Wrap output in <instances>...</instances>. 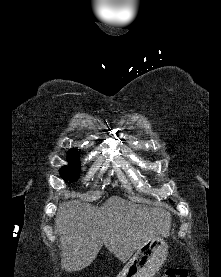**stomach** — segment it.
Returning a JSON list of instances; mask_svg holds the SVG:
<instances>
[{"label":"stomach","instance_id":"1","mask_svg":"<svg viewBox=\"0 0 221 277\" xmlns=\"http://www.w3.org/2000/svg\"><path fill=\"white\" fill-rule=\"evenodd\" d=\"M164 236L155 235L139 247L117 277H153L168 256Z\"/></svg>","mask_w":221,"mask_h":277}]
</instances>
